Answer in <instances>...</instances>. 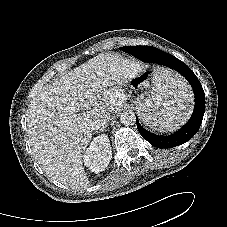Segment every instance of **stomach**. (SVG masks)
I'll list each match as a JSON object with an SVG mask.
<instances>
[{"mask_svg": "<svg viewBox=\"0 0 227 227\" xmlns=\"http://www.w3.org/2000/svg\"><path fill=\"white\" fill-rule=\"evenodd\" d=\"M111 92L120 95L122 93V90L119 87H113L111 88Z\"/></svg>", "mask_w": 227, "mask_h": 227, "instance_id": "obj_1", "label": "stomach"}]
</instances>
